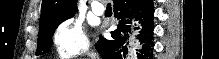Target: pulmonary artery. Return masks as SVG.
<instances>
[{"instance_id":"pulmonary-artery-1","label":"pulmonary artery","mask_w":219,"mask_h":59,"mask_svg":"<svg viewBox=\"0 0 219 59\" xmlns=\"http://www.w3.org/2000/svg\"><path fill=\"white\" fill-rule=\"evenodd\" d=\"M103 2L102 1H97L95 3H93L92 5V11L94 14L96 15H103L105 13V7L104 5L102 4Z\"/></svg>"}]
</instances>
